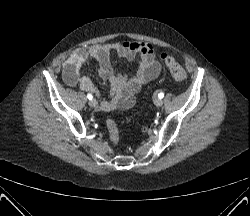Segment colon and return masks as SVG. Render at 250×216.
I'll return each instance as SVG.
<instances>
[{"mask_svg": "<svg viewBox=\"0 0 250 216\" xmlns=\"http://www.w3.org/2000/svg\"><path fill=\"white\" fill-rule=\"evenodd\" d=\"M161 61L166 65L169 69L172 77L178 82H185L187 79V74L183 67L175 60L173 56L168 53H162L160 55ZM106 128L109 134V138L111 142L116 145L119 142V130L116 123L112 119L106 120Z\"/></svg>", "mask_w": 250, "mask_h": 216, "instance_id": "1", "label": "colon"}]
</instances>
